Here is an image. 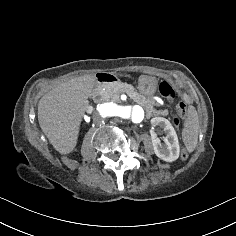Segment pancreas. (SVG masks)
<instances>
[{
    "label": "pancreas",
    "mask_w": 236,
    "mask_h": 236,
    "mask_svg": "<svg viewBox=\"0 0 236 236\" xmlns=\"http://www.w3.org/2000/svg\"><path fill=\"white\" fill-rule=\"evenodd\" d=\"M123 93H126L131 99H133L136 103L142 106L147 116H158V115H167L168 110H156L154 106H160V104L156 103L155 100L145 97L138 93L131 84L117 82L109 89H106L101 99L104 101H113L119 102V96Z\"/></svg>",
    "instance_id": "pancreas-1"
}]
</instances>
